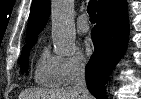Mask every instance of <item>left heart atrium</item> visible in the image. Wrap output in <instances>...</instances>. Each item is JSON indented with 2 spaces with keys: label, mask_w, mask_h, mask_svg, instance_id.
I'll return each instance as SVG.
<instances>
[{
  "label": "left heart atrium",
  "mask_w": 141,
  "mask_h": 99,
  "mask_svg": "<svg viewBox=\"0 0 141 99\" xmlns=\"http://www.w3.org/2000/svg\"><path fill=\"white\" fill-rule=\"evenodd\" d=\"M85 51L87 54H91L93 51V42L91 39H86L84 42Z\"/></svg>",
  "instance_id": "1"
}]
</instances>
